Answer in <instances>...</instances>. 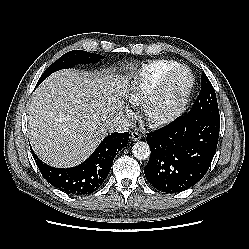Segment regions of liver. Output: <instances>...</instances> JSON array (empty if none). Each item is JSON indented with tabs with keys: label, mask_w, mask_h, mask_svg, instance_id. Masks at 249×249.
<instances>
[{
	"label": "liver",
	"mask_w": 249,
	"mask_h": 249,
	"mask_svg": "<svg viewBox=\"0 0 249 249\" xmlns=\"http://www.w3.org/2000/svg\"><path fill=\"white\" fill-rule=\"evenodd\" d=\"M128 81L109 73L61 70L49 76L28 105V133L38 157L54 167L87 159L123 114Z\"/></svg>",
	"instance_id": "obj_1"
}]
</instances>
